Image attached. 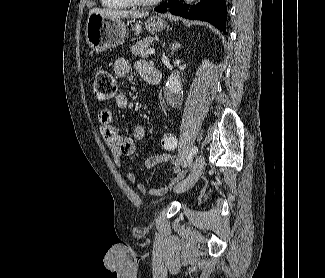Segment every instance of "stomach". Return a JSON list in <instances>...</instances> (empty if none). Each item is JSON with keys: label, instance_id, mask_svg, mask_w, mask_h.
<instances>
[{"label": "stomach", "instance_id": "obj_1", "mask_svg": "<svg viewBox=\"0 0 325 278\" xmlns=\"http://www.w3.org/2000/svg\"><path fill=\"white\" fill-rule=\"evenodd\" d=\"M165 27V20L157 15L151 16L145 22V28L150 32H158ZM133 30L136 35H139L142 31L141 23L137 22ZM85 36L87 45L93 51L100 53L124 42L126 26L119 18L93 13L88 17Z\"/></svg>", "mask_w": 325, "mask_h": 278}]
</instances>
